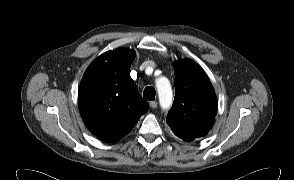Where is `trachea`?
<instances>
[{
    "label": "trachea",
    "mask_w": 294,
    "mask_h": 180,
    "mask_svg": "<svg viewBox=\"0 0 294 180\" xmlns=\"http://www.w3.org/2000/svg\"><path fill=\"white\" fill-rule=\"evenodd\" d=\"M155 89L152 86H148L144 89L143 97L147 100H154L155 99Z\"/></svg>",
    "instance_id": "trachea-1"
}]
</instances>
